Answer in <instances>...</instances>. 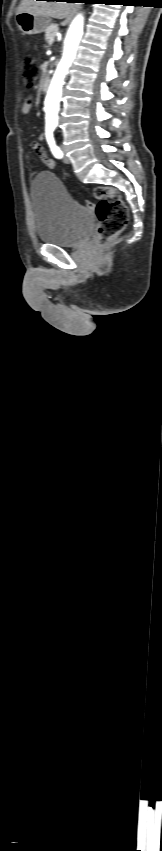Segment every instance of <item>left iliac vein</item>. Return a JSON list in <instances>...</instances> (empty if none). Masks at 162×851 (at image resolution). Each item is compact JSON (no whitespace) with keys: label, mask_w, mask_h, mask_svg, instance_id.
<instances>
[{"label":"left iliac vein","mask_w":162,"mask_h":851,"mask_svg":"<svg viewBox=\"0 0 162 851\" xmlns=\"http://www.w3.org/2000/svg\"><path fill=\"white\" fill-rule=\"evenodd\" d=\"M63 161L67 164L70 163V159L66 155L63 156Z\"/></svg>","instance_id":"left-iliac-vein-1"}]
</instances>
